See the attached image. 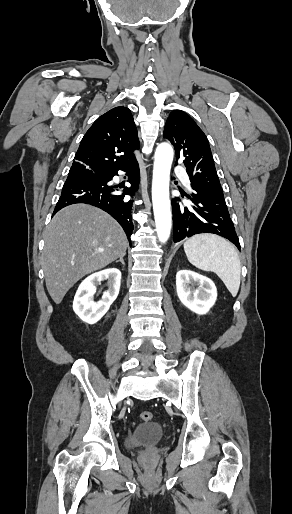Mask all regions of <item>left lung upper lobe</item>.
<instances>
[{"label":"left lung upper lobe","instance_id":"1","mask_svg":"<svg viewBox=\"0 0 292 514\" xmlns=\"http://www.w3.org/2000/svg\"><path fill=\"white\" fill-rule=\"evenodd\" d=\"M163 137L174 146L176 160L183 161L191 187L206 194L223 195L208 139L187 113L172 111Z\"/></svg>","mask_w":292,"mask_h":514}]
</instances>
